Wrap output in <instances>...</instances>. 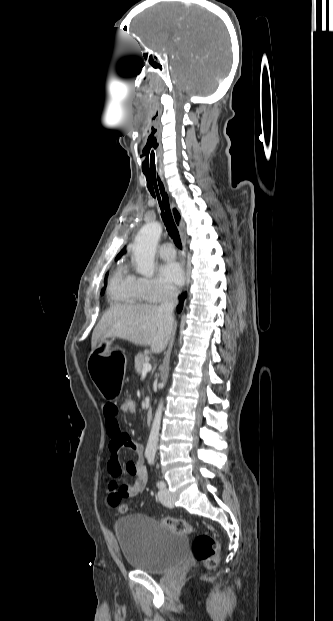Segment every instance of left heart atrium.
<instances>
[{
  "label": "left heart atrium",
  "instance_id": "1",
  "mask_svg": "<svg viewBox=\"0 0 333 621\" xmlns=\"http://www.w3.org/2000/svg\"><path fill=\"white\" fill-rule=\"evenodd\" d=\"M161 280L170 287L182 284L184 280V272L177 262H166L159 268Z\"/></svg>",
  "mask_w": 333,
  "mask_h": 621
}]
</instances>
